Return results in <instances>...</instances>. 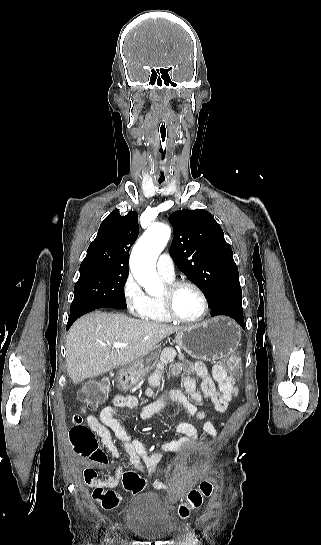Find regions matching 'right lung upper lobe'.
Instances as JSON below:
<instances>
[{"label": "right lung upper lobe", "mask_w": 321, "mask_h": 545, "mask_svg": "<svg viewBox=\"0 0 321 545\" xmlns=\"http://www.w3.org/2000/svg\"><path fill=\"white\" fill-rule=\"evenodd\" d=\"M137 220L138 215L134 211H129L125 216H121L117 209L112 211L101 223L80 269L129 270V249L138 236Z\"/></svg>", "instance_id": "1"}]
</instances>
